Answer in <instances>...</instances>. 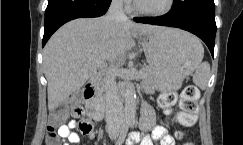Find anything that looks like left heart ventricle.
Returning a JSON list of instances; mask_svg holds the SVG:
<instances>
[{"label": "left heart ventricle", "instance_id": "1", "mask_svg": "<svg viewBox=\"0 0 243 145\" xmlns=\"http://www.w3.org/2000/svg\"><path fill=\"white\" fill-rule=\"evenodd\" d=\"M140 5L148 10L158 11L164 9L168 0H138Z\"/></svg>", "mask_w": 243, "mask_h": 145}]
</instances>
